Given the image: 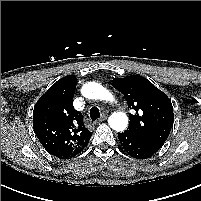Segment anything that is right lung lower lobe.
Returning <instances> with one entry per match:
<instances>
[{"instance_id": "right-lung-lower-lobe-1", "label": "right lung lower lobe", "mask_w": 201, "mask_h": 201, "mask_svg": "<svg viewBox=\"0 0 201 201\" xmlns=\"http://www.w3.org/2000/svg\"><path fill=\"white\" fill-rule=\"evenodd\" d=\"M87 143H88V141L86 142V145H87ZM86 145H85V146H86ZM85 146H84V147H85ZM84 147H83L78 153H80V152L84 149ZM75 156H76V155H75ZM73 157H74V156H73ZM69 158H72V157H69ZM65 159H68V158H65Z\"/></svg>"}]
</instances>
